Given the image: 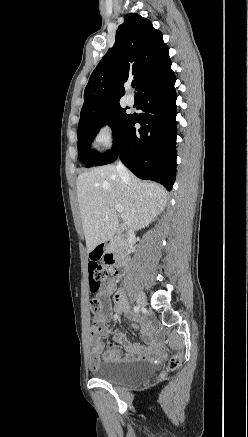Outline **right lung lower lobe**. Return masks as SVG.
I'll return each mask as SVG.
<instances>
[{
    "label": "right lung lower lobe",
    "instance_id": "1",
    "mask_svg": "<svg viewBox=\"0 0 248 437\" xmlns=\"http://www.w3.org/2000/svg\"><path fill=\"white\" fill-rule=\"evenodd\" d=\"M175 81L169 58L137 90L143 113L131 115L113 149L95 166L110 164L120 155L140 179L172 189L176 175ZM135 123L141 128L136 130Z\"/></svg>",
    "mask_w": 248,
    "mask_h": 437
}]
</instances>
